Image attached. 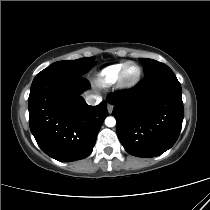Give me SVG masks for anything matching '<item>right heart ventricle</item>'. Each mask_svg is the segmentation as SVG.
<instances>
[{
  "label": "right heart ventricle",
  "instance_id": "obj_1",
  "mask_svg": "<svg viewBox=\"0 0 210 210\" xmlns=\"http://www.w3.org/2000/svg\"><path fill=\"white\" fill-rule=\"evenodd\" d=\"M124 63L112 64L100 71L97 77L98 83L104 87L114 84L118 80L120 70Z\"/></svg>",
  "mask_w": 210,
  "mask_h": 210
}]
</instances>
